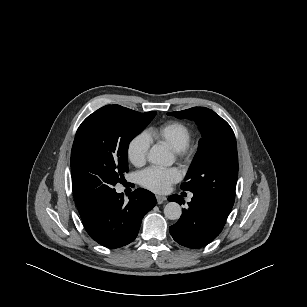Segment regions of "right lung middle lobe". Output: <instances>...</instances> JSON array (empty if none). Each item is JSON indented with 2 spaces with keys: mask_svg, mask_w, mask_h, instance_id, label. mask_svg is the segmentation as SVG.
I'll return each instance as SVG.
<instances>
[{
  "mask_svg": "<svg viewBox=\"0 0 307 307\" xmlns=\"http://www.w3.org/2000/svg\"><path fill=\"white\" fill-rule=\"evenodd\" d=\"M119 105L104 106L79 126L71 152L77 206H93L115 191L128 172V146L154 118Z\"/></svg>",
  "mask_w": 307,
  "mask_h": 307,
  "instance_id": "obj_1",
  "label": "right lung middle lobe"
}]
</instances>
